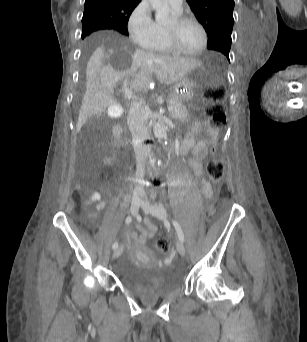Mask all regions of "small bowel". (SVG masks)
<instances>
[{"mask_svg":"<svg viewBox=\"0 0 307 342\" xmlns=\"http://www.w3.org/2000/svg\"><path fill=\"white\" fill-rule=\"evenodd\" d=\"M203 132L206 133V136L203 135ZM218 136V130L213 129L204 122H196L193 124L182 146V150L184 152L189 150L192 151V158L189 162V165L194 174L200 179L203 192L207 199L211 197V188L209 183L202 177L203 168L201 160L206 157L208 149L216 144ZM92 204L95 205L97 210H101L106 206V202L101 201V196L97 192L93 193L91 198L85 202L86 206ZM145 222L147 224L146 227L138 226L140 232L139 235L135 232L126 233V236L131 239L132 244L140 249L144 248L146 242L151 239L157 231V227L148 219H145Z\"/></svg>","mask_w":307,"mask_h":342,"instance_id":"obj_1","label":"small bowel"}]
</instances>
